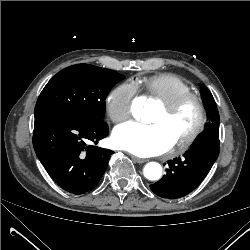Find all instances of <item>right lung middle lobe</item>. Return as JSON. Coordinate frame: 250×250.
<instances>
[{"mask_svg":"<svg viewBox=\"0 0 250 250\" xmlns=\"http://www.w3.org/2000/svg\"><path fill=\"white\" fill-rule=\"evenodd\" d=\"M125 76L109 69L77 64L57 73L42 90L34 110L103 121L105 99Z\"/></svg>","mask_w":250,"mask_h":250,"instance_id":"dd1d6c3e","label":"right lung middle lobe"}]
</instances>
